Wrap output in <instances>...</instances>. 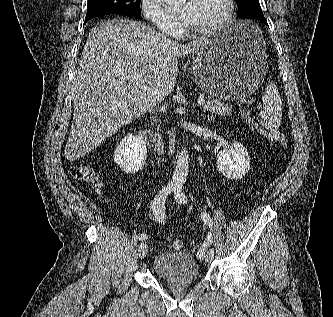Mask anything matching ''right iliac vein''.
<instances>
[{
	"label": "right iliac vein",
	"mask_w": 333,
	"mask_h": 317,
	"mask_svg": "<svg viewBox=\"0 0 333 317\" xmlns=\"http://www.w3.org/2000/svg\"><path fill=\"white\" fill-rule=\"evenodd\" d=\"M148 253V246L146 243H141L138 249L139 258L143 259Z\"/></svg>",
	"instance_id": "obj_1"
}]
</instances>
